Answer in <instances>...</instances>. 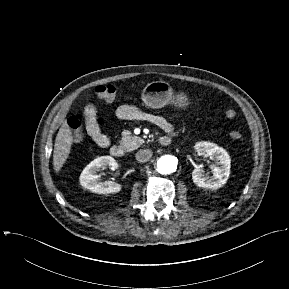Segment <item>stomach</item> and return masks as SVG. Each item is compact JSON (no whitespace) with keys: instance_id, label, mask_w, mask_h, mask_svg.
I'll list each match as a JSON object with an SVG mask.
<instances>
[{"instance_id":"0dacf381","label":"stomach","mask_w":289,"mask_h":289,"mask_svg":"<svg viewBox=\"0 0 289 289\" xmlns=\"http://www.w3.org/2000/svg\"><path fill=\"white\" fill-rule=\"evenodd\" d=\"M142 100L146 106L154 109L168 104L177 108H186L189 105L188 97L185 94L175 95L169 83L164 81L148 83L142 91Z\"/></svg>"}]
</instances>
